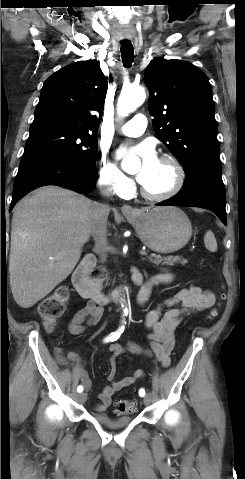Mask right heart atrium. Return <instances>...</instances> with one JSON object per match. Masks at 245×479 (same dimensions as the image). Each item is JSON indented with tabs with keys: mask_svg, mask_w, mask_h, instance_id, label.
<instances>
[{
	"mask_svg": "<svg viewBox=\"0 0 245 479\" xmlns=\"http://www.w3.org/2000/svg\"><path fill=\"white\" fill-rule=\"evenodd\" d=\"M98 181L108 191L125 196L129 193L132 181L107 157L103 151L98 160Z\"/></svg>",
	"mask_w": 245,
	"mask_h": 479,
	"instance_id": "obj_1",
	"label": "right heart atrium"
}]
</instances>
